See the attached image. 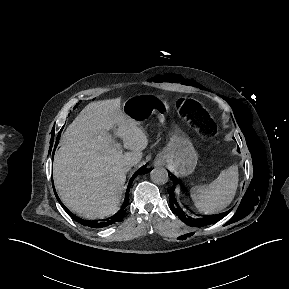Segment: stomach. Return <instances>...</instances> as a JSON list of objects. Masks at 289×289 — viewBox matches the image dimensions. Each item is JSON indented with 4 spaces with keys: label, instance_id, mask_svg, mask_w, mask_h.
Wrapping results in <instances>:
<instances>
[{
    "label": "stomach",
    "instance_id": "stomach-1",
    "mask_svg": "<svg viewBox=\"0 0 289 289\" xmlns=\"http://www.w3.org/2000/svg\"><path fill=\"white\" fill-rule=\"evenodd\" d=\"M123 111L140 123L154 114L163 117L169 112V106L164 100L155 96L135 95L123 103ZM166 159L179 174L189 175L197 165L198 156L191 140L177 130L171 136Z\"/></svg>",
    "mask_w": 289,
    "mask_h": 289
}]
</instances>
